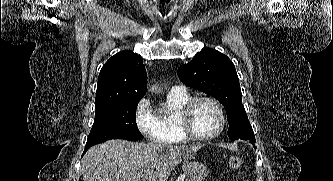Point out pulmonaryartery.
<instances>
[{
    "instance_id": "pulmonary-artery-1",
    "label": "pulmonary artery",
    "mask_w": 333,
    "mask_h": 181,
    "mask_svg": "<svg viewBox=\"0 0 333 181\" xmlns=\"http://www.w3.org/2000/svg\"><path fill=\"white\" fill-rule=\"evenodd\" d=\"M172 92H177V93H181V92H184L185 89L184 87L182 86H173L172 89H171Z\"/></svg>"
}]
</instances>
